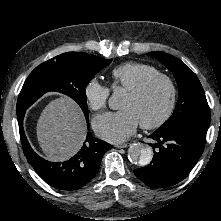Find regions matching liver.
<instances>
[{"label": "liver", "instance_id": "obj_1", "mask_svg": "<svg viewBox=\"0 0 221 221\" xmlns=\"http://www.w3.org/2000/svg\"><path fill=\"white\" fill-rule=\"evenodd\" d=\"M37 138L50 161H65L75 155L86 137V122L80 107L68 97L51 101L37 121Z\"/></svg>", "mask_w": 221, "mask_h": 221}]
</instances>
